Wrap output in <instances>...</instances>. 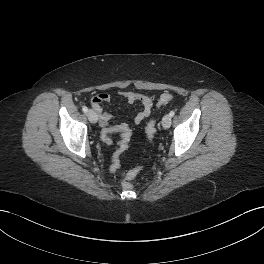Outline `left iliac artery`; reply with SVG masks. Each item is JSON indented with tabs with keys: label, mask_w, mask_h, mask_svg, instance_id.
Listing matches in <instances>:
<instances>
[{
	"label": "left iliac artery",
	"mask_w": 264,
	"mask_h": 264,
	"mask_svg": "<svg viewBox=\"0 0 264 264\" xmlns=\"http://www.w3.org/2000/svg\"><path fill=\"white\" fill-rule=\"evenodd\" d=\"M169 115H170V117H173V116L175 115V112H174V111H171V112L169 113Z\"/></svg>",
	"instance_id": "left-iliac-artery-1"
}]
</instances>
